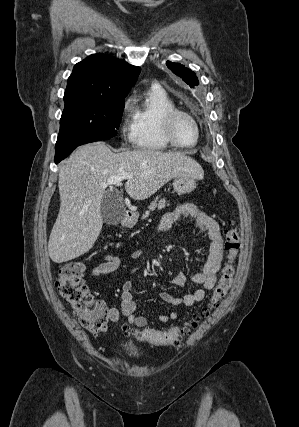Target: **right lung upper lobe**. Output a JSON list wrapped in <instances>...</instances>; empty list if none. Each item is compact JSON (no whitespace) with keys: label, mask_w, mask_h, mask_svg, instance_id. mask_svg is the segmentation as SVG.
<instances>
[{"label":"right lung upper lobe","mask_w":299,"mask_h":427,"mask_svg":"<svg viewBox=\"0 0 299 427\" xmlns=\"http://www.w3.org/2000/svg\"><path fill=\"white\" fill-rule=\"evenodd\" d=\"M141 68L104 54L77 63L68 78L64 100L79 96H126Z\"/></svg>","instance_id":"right-lung-upper-lobe-1"}]
</instances>
